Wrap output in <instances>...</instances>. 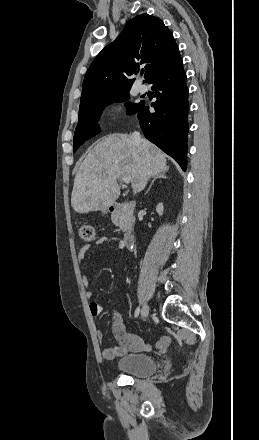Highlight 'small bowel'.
Here are the masks:
<instances>
[{
	"mask_svg": "<svg viewBox=\"0 0 259 440\" xmlns=\"http://www.w3.org/2000/svg\"><path fill=\"white\" fill-rule=\"evenodd\" d=\"M115 243L118 247L124 248L125 243L122 238L119 237H102L95 243L85 244L83 245L78 252V261L79 264L82 265V263L85 260L86 254L88 251L98 245H102L104 243ZM82 283L85 287V295L87 298H92L93 292L90 289V283L86 275L82 276ZM89 311L93 316H98L102 312V307L97 302H91L89 304ZM113 333L114 336L118 342L116 346L113 347H106L102 350V356L105 359H112L120 354H123L128 351H149L151 349V346L146 345L141 337L138 335L128 333L125 330V327L119 317V315H115L114 317V323H113ZM96 337L99 342H102L104 340V334L101 331L96 332ZM171 343V338L169 336H163L161 337L156 345L155 348L161 352L166 351L169 344Z\"/></svg>",
	"mask_w": 259,
	"mask_h": 440,
	"instance_id": "small-bowel-1",
	"label": "small bowel"
}]
</instances>
